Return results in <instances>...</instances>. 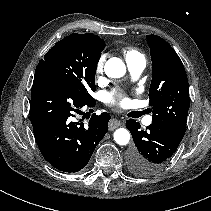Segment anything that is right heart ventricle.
I'll use <instances>...</instances> for the list:
<instances>
[{
    "label": "right heart ventricle",
    "instance_id": "e07e8e85",
    "mask_svg": "<svg viewBox=\"0 0 211 211\" xmlns=\"http://www.w3.org/2000/svg\"><path fill=\"white\" fill-rule=\"evenodd\" d=\"M123 54L125 56L126 61L142 56L137 50L133 48L124 49Z\"/></svg>",
    "mask_w": 211,
    "mask_h": 211
}]
</instances>
